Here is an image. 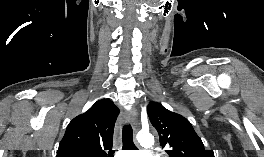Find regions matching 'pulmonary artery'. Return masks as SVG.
Listing matches in <instances>:
<instances>
[{
	"label": "pulmonary artery",
	"mask_w": 264,
	"mask_h": 157,
	"mask_svg": "<svg viewBox=\"0 0 264 157\" xmlns=\"http://www.w3.org/2000/svg\"><path fill=\"white\" fill-rule=\"evenodd\" d=\"M125 155L135 156V157H156V156H154V154L150 150H139V151H133V152H124L119 157H122Z\"/></svg>",
	"instance_id": "e3ab8cb5"
}]
</instances>
